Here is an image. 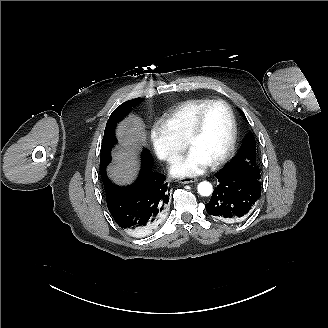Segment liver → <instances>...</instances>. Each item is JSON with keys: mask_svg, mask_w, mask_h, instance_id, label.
I'll return each instance as SVG.
<instances>
[{"mask_svg": "<svg viewBox=\"0 0 328 328\" xmlns=\"http://www.w3.org/2000/svg\"><path fill=\"white\" fill-rule=\"evenodd\" d=\"M119 137L126 148H134L137 142L144 140V125L136 116H130L120 126ZM117 164L111 168V176L118 182H127L135 172V156L129 151L121 150L115 155Z\"/></svg>", "mask_w": 328, "mask_h": 328, "instance_id": "liver-1", "label": "liver"}]
</instances>
